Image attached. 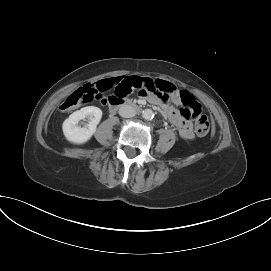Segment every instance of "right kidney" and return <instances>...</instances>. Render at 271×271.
Returning <instances> with one entry per match:
<instances>
[{
	"label": "right kidney",
	"instance_id": "1",
	"mask_svg": "<svg viewBox=\"0 0 271 271\" xmlns=\"http://www.w3.org/2000/svg\"><path fill=\"white\" fill-rule=\"evenodd\" d=\"M87 118L88 123L81 127L78 125L80 120ZM102 118V111L95 106H87L73 112L63 122V133L66 139L75 144H83L90 140L96 131V127Z\"/></svg>",
	"mask_w": 271,
	"mask_h": 271
}]
</instances>
